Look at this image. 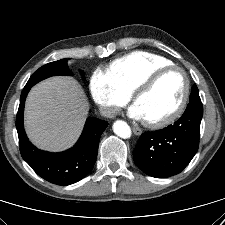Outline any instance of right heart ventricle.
<instances>
[{
	"mask_svg": "<svg viewBox=\"0 0 225 225\" xmlns=\"http://www.w3.org/2000/svg\"><path fill=\"white\" fill-rule=\"evenodd\" d=\"M172 65L167 58L144 51H134L112 62L108 73L119 87L131 95L154 71Z\"/></svg>",
	"mask_w": 225,
	"mask_h": 225,
	"instance_id": "right-heart-ventricle-1",
	"label": "right heart ventricle"
}]
</instances>
